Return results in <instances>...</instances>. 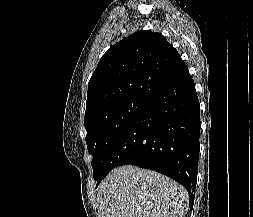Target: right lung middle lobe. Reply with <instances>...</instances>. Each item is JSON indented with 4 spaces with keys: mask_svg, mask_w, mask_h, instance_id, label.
<instances>
[{
    "mask_svg": "<svg viewBox=\"0 0 253 217\" xmlns=\"http://www.w3.org/2000/svg\"><path fill=\"white\" fill-rule=\"evenodd\" d=\"M148 100L144 97H128L101 108L84 121L95 180L104 174L111 150Z\"/></svg>",
    "mask_w": 253,
    "mask_h": 217,
    "instance_id": "obj_1",
    "label": "right lung middle lobe"
}]
</instances>
